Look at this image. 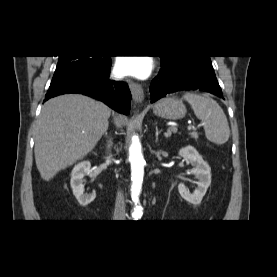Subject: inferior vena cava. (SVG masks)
<instances>
[{
  "instance_id": "obj_1",
  "label": "inferior vena cava",
  "mask_w": 277,
  "mask_h": 277,
  "mask_svg": "<svg viewBox=\"0 0 277 277\" xmlns=\"http://www.w3.org/2000/svg\"><path fill=\"white\" fill-rule=\"evenodd\" d=\"M107 162H109V160H107ZM114 218L117 220L125 219V201L121 191L117 192Z\"/></svg>"
}]
</instances>
